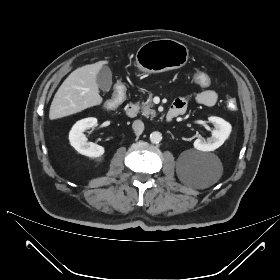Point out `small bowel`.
<instances>
[{
    "mask_svg": "<svg viewBox=\"0 0 280 280\" xmlns=\"http://www.w3.org/2000/svg\"><path fill=\"white\" fill-rule=\"evenodd\" d=\"M196 100H197L198 103H200L204 106H209L210 107V106H213V105L216 104V102L218 100V96H217V93L215 91L207 89L205 91H200L196 95ZM171 107H175L177 109H180L183 113L186 109V101L182 98L175 99L174 102L172 103Z\"/></svg>",
    "mask_w": 280,
    "mask_h": 280,
    "instance_id": "1",
    "label": "small bowel"
}]
</instances>
